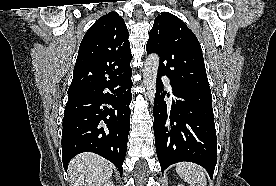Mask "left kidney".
<instances>
[{"label": "left kidney", "instance_id": "left-kidney-1", "mask_svg": "<svg viewBox=\"0 0 276 186\" xmlns=\"http://www.w3.org/2000/svg\"><path fill=\"white\" fill-rule=\"evenodd\" d=\"M178 186H184V185L180 184V185H178Z\"/></svg>", "mask_w": 276, "mask_h": 186}]
</instances>
